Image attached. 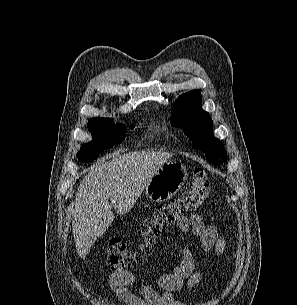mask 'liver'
Masks as SVG:
<instances>
[{
    "label": "liver",
    "instance_id": "obj_1",
    "mask_svg": "<svg viewBox=\"0 0 297 305\" xmlns=\"http://www.w3.org/2000/svg\"><path fill=\"white\" fill-rule=\"evenodd\" d=\"M171 156L153 150L116 153L88 173L80 182L72 209L73 236L80 258L90 251L89 240L102 236L112 224L115 215L109 200L117 213H127Z\"/></svg>",
    "mask_w": 297,
    "mask_h": 305
}]
</instances>
